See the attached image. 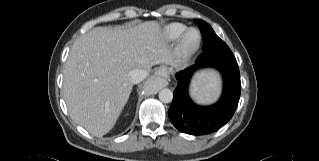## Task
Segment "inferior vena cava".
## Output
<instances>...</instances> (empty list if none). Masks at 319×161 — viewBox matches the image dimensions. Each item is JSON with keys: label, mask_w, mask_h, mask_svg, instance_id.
Returning a JSON list of instances; mask_svg holds the SVG:
<instances>
[{"label": "inferior vena cava", "mask_w": 319, "mask_h": 161, "mask_svg": "<svg viewBox=\"0 0 319 161\" xmlns=\"http://www.w3.org/2000/svg\"><path fill=\"white\" fill-rule=\"evenodd\" d=\"M146 76H147V72L142 69H134L129 72V78L133 84H137L141 82L142 80L146 78Z\"/></svg>", "instance_id": "obj_1"}]
</instances>
